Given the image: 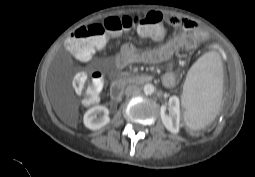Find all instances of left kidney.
Returning a JSON list of instances; mask_svg holds the SVG:
<instances>
[{
    "label": "left kidney",
    "instance_id": "left-kidney-1",
    "mask_svg": "<svg viewBox=\"0 0 255 177\" xmlns=\"http://www.w3.org/2000/svg\"><path fill=\"white\" fill-rule=\"evenodd\" d=\"M169 115L166 114V107H161V119L168 131L178 133L180 122V101L177 96H172L169 99Z\"/></svg>",
    "mask_w": 255,
    "mask_h": 177
}]
</instances>
